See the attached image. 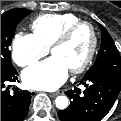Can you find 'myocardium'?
Segmentation results:
<instances>
[{"label": "myocardium", "mask_w": 121, "mask_h": 121, "mask_svg": "<svg viewBox=\"0 0 121 121\" xmlns=\"http://www.w3.org/2000/svg\"><path fill=\"white\" fill-rule=\"evenodd\" d=\"M82 27H87L88 30L90 31L91 34V44L88 50V53L85 57V59L76 67L70 69V71L74 74L77 73H81L83 72L91 63V61L94 58V55L96 53L97 50V46H98V35H97V31L94 27V25L88 21H79L76 22L72 25H70L69 27H67L57 38L56 40L52 43L51 45V52L52 50L57 47L60 46L64 43H66L71 36L80 28Z\"/></svg>", "instance_id": "1"}]
</instances>
